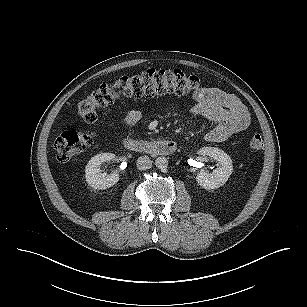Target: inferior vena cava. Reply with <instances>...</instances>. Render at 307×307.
<instances>
[{"label":"inferior vena cava","mask_w":307,"mask_h":307,"mask_svg":"<svg viewBox=\"0 0 307 307\" xmlns=\"http://www.w3.org/2000/svg\"><path fill=\"white\" fill-rule=\"evenodd\" d=\"M152 167V161L147 156H141L137 159V168L139 170H146Z\"/></svg>","instance_id":"602c4592"}]
</instances>
